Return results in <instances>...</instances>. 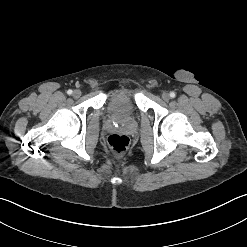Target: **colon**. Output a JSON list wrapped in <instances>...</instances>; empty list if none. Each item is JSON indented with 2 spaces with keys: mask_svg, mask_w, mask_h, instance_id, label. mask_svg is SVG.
<instances>
[{
  "mask_svg": "<svg viewBox=\"0 0 247 247\" xmlns=\"http://www.w3.org/2000/svg\"><path fill=\"white\" fill-rule=\"evenodd\" d=\"M107 144L116 155H121L128 149L130 139L124 134H111L107 138Z\"/></svg>",
  "mask_w": 247,
  "mask_h": 247,
  "instance_id": "5ec220e1",
  "label": "colon"
}]
</instances>
